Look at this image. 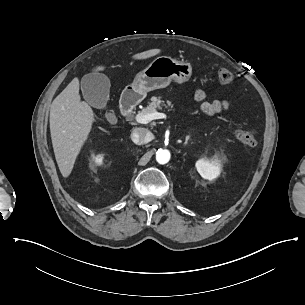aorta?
Listing matches in <instances>:
<instances>
[{"label": "aorta", "mask_w": 305, "mask_h": 305, "mask_svg": "<svg viewBox=\"0 0 305 305\" xmlns=\"http://www.w3.org/2000/svg\"><path fill=\"white\" fill-rule=\"evenodd\" d=\"M170 151L167 150V149H159L157 152H156V161L159 163V164H166L169 162L170 160Z\"/></svg>", "instance_id": "obj_1"}]
</instances>
